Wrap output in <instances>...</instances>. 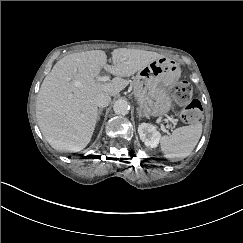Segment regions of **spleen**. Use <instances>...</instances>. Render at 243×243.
Listing matches in <instances>:
<instances>
[{
	"instance_id": "1",
	"label": "spleen",
	"mask_w": 243,
	"mask_h": 243,
	"mask_svg": "<svg viewBox=\"0 0 243 243\" xmlns=\"http://www.w3.org/2000/svg\"><path fill=\"white\" fill-rule=\"evenodd\" d=\"M202 134V123L182 126L170 136H163L160 141L165 157H187L197 145Z\"/></svg>"
}]
</instances>
